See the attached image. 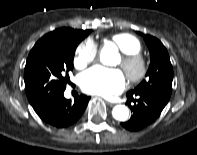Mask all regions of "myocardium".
<instances>
[{"label": "myocardium", "mask_w": 197, "mask_h": 155, "mask_svg": "<svg viewBox=\"0 0 197 155\" xmlns=\"http://www.w3.org/2000/svg\"><path fill=\"white\" fill-rule=\"evenodd\" d=\"M121 68L131 83L141 82L147 75L148 64L140 53H123Z\"/></svg>", "instance_id": "myocardium-1"}]
</instances>
